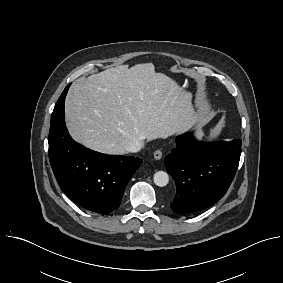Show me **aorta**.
<instances>
[{
	"label": "aorta",
	"mask_w": 283,
	"mask_h": 283,
	"mask_svg": "<svg viewBox=\"0 0 283 283\" xmlns=\"http://www.w3.org/2000/svg\"><path fill=\"white\" fill-rule=\"evenodd\" d=\"M153 181H154L155 185H157L159 187H164L169 182V176L164 171H158L154 174Z\"/></svg>",
	"instance_id": "aorta-1"
}]
</instances>
